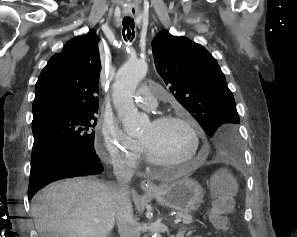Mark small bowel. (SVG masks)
Returning a JSON list of instances; mask_svg holds the SVG:
<instances>
[{
    "mask_svg": "<svg viewBox=\"0 0 297 237\" xmlns=\"http://www.w3.org/2000/svg\"><path fill=\"white\" fill-rule=\"evenodd\" d=\"M195 237H203V236H195Z\"/></svg>",
    "mask_w": 297,
    "mask_h": 237,
    "instance_id": "1",
    "label": "small bowel"
}]
</instances>
